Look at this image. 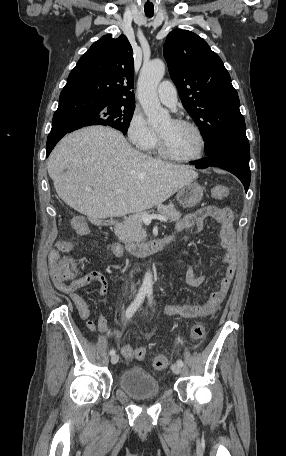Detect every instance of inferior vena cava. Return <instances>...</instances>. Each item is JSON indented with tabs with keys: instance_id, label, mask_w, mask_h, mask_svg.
Listing matches in <instances>:
<instances>
[{
	"instance_id": "obj_1",
	"label": "inferior vena cava",
	"mask_w": 286,
	"mask_h": 456,
	"mask_svg": "<svg viewBox=\"0 0 286 456\" xmlns=\"http://www.w3.org/2000/svg\"><path fill=\"white\" fill-rule=\"evenodd\" d=\"M131 289H132V290H134V286H132V288H131Z\"/></svg>"
}]
</instances>
